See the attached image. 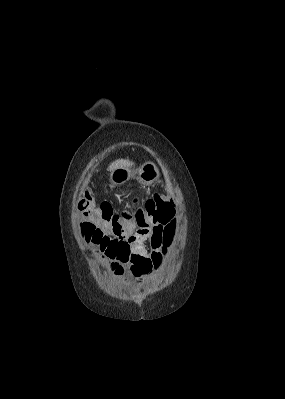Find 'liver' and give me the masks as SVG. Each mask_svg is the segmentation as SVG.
Instances as JSON below:
<instances>
[{
	"label": "liver",
	"instance_id": "obj_1",
	"mask_svg": "<svg viewBox=\"0 0 285 399\" xmlns=\"http://www.w3.org/2000/svg\"><path fill=\"white\" fill-rule=\"evenodd\" d=\"M131 165H133L132 161L126 159H118L110 164L108 170L112 172L116 168L129 167Z\"/></svg>",
	"mask_w": 285,
	"mask_h": 399
}]
</instances>
